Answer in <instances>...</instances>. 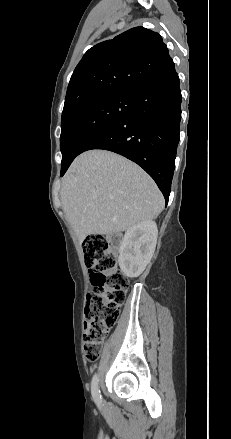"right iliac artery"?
Segmentation results:
<instances>
[{
	"label": "right iliac artery",
	"mask_w": 231,
	"mask_h": 439,
	"mask_svg": "<svg viewBox=\"0 0 231 439\" xmlns=\"http://www.w3.org/2000/svg\"><path fill=\"white\" fill-rule=\"evenodd\" d=\"M91 393H92L93 399L96 402V404L98 406H101V404H102V397H101L100 390H99L97 374H95L93 376V379H92Z\"/></svg>",
	"instance_id": "82829eb1"
}]
</instances>
